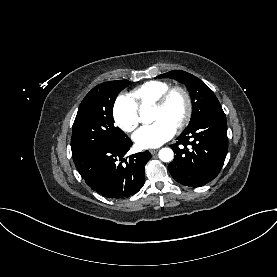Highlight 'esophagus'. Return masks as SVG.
<instances>
[{
    "label": "esophagus",
    "mask_w": 277,
    "mask_h": 277,
    "mask_svg": "<svg viewBox=\"0 0 277 277\" xmlns=\"http://www.w3.org/2000/svg\"><path fill=\"white\" fill-rule=\"evenodd\" d=\"M158 152V149H150V153L152 155L156 154Z\"/></svg>",
    "instance_id": "esophagus-1"
}]
</instances>
